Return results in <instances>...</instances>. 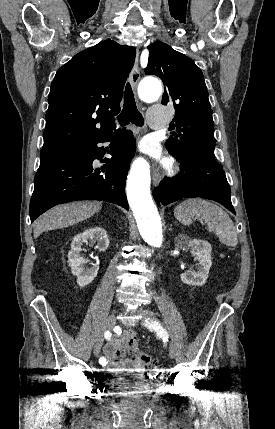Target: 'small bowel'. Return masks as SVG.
Masks as SVG:
<instances>
[{"label":"small bowel","instance_id":"1","mask_svg":"<svg viewBox=\"0 0 275 429\" xmlns=\"http://www.w3.org/2000/svg\"><path fill=\"white\" fill-rule=\"evenodd\" d=\"M136 340L135 333L132 330H125L120 336L113 337L103 348L106 359V367L110 371L118 370H140L141 363L134 359H124L123 355L129 351L130 341Z\"/></svg>","mask_w":275,"mask_h":429}]
</instances>
